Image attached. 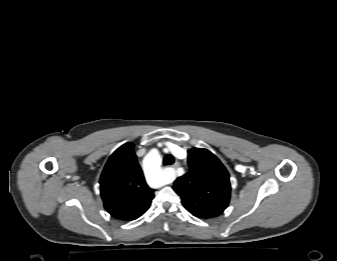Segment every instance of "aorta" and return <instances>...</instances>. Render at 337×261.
<instances>
[{
    "label": "aorta",
    "instance_id": "aorta-1",
    "mask_svg": "<svg viewBox=\"0 0 337 261\" xmlns=\"http://www.w3.org/2000/svg\"><path fill=\"white\" fill-rule=\"evenodd\" d=\"M145 163L151 175L163 177L161 184L169 183L172 180L170 170L160 168L161 157L158 153H149L145 158Z\"/></svg>",
    "mask_w": 337,
    "mask_h": 261
}]
</instances>
